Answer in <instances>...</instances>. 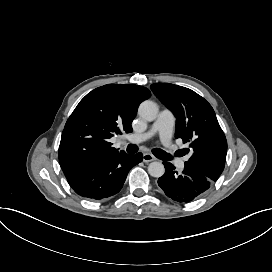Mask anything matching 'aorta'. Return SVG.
I'll list each match as a JSON object with an SVG mask.
<instances>
[{
	"label": "aorta",
	"instance_id": "762f6f07",
	"mask_svg": "<svg viewBox=\"0 0 272 272\" xmlns=\"http://www.w3.org/2000/svg\"><path fill=\"white\" fill-rule=\"evenodd\" d=\"M158 111L159 108L157 103L151 100L143 101L138 108V114L147 121H153L156 118ZM148 173L152 177L159 178L165 173L164 165L158 161L151 162L148 166Z\"/></svg>",
	"mask_w": 272,
	"mask_h": 272
}]
</instances>
